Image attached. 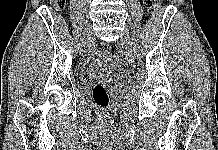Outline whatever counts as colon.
<instances>
[{
  "label": "colon",
  "instance_id": "5ec220e1",
  "mask_svg": "<svg viewBox=\"0 0 218 150\" xmlns=\"http://www.w3.org/2000/svg\"><path fill=\"white\" fill-rule=\"evenodd\" d=\"M147 9L151 13L157 12L161 7V0H144ZM51 3L56 7H63L65 0H51ZM96 53L99 57L110 59L113 56L112 49L108 43L100 42L96 45ZM92 96L94 102L103 110H107L110 105V97L105 88L101 83L96 84L92 90Z\"/></svg>",
  "mask_w": 218,
  "mask_h": 150
}]
</instances>
